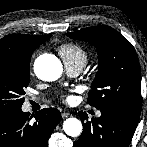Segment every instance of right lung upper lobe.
Masks as SVG:
<instances>
[{
    "instance_id": "right-lung-upper-lobe-1",
    "label": "right lung upper lobe",
    "mask_w": 147,
    "mask_h": 147,
    "mask_svg": "<svg viewBox=\"0 0 147 147\" xmlns=\"http://www.w3.org/2000/svg\"><path fill=\"white\" fill-rule=\"evenodd\" d=\"M50 37L51 35H7L0 40V56H13L31 59L33 51Z\"/></svg>"
}]
</instances>
